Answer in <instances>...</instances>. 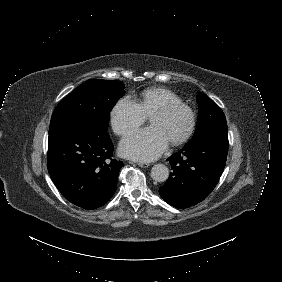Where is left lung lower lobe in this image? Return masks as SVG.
Returning <instances> with one entry per match:
<instances>
[{"label":"left lung lower lobe","instance_id":"1","mask_svg":"<svg viewBox=\"0 0 282 282\" xmlns=\"http://www.w3.org/2000/svg\"><path fill=\"white\" fill-rule=\"evenodd\" d=\"M228 153L227 125L214 126L192 139L169 157L173 172L159 188V194L176 208H188L203 201L215 188Z\"/></svg>","mask_w":282,"mask_h":282}]
</instances>
